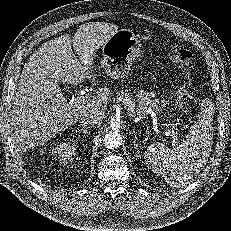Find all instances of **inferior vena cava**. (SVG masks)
Wrapping results in <instances>:
<instances>
[{
	"label": "inferior vena cava",
	"instance_id": "obj_1",
	"mask_svg": "<svg viewBox=\"0 0 231 231\" xmlns=\"http://www.w3.org/2000/svg\"><path fill=\"white\" fill-rule=\"evenodd\" d=\"M98 123V119L92 113H86L80 119V125L83 128H93Z\"/></svg>",
	"mask_w": 231,
	"mask_h": 231
}]
</instances>
